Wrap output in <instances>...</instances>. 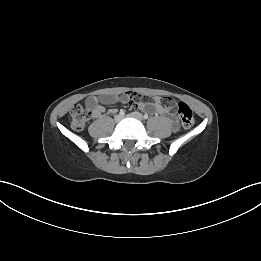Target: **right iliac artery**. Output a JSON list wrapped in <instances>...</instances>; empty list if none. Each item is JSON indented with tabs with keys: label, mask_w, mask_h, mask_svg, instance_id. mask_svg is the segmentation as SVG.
<instances>
[{
	"label": "right iliac artery",
	"mask_w": 261,
	"mask_h": 261,
	"mask_svg": "<svg viewBox=\"0 0 261 261\" xmlns=\"http://www.w3.org/2000/svg\"><path fill=\"white\" fill-rule=\"evenodd\" d=\"M119 115L124 116L125 115V111L124 110H120Z\"/></svg>",
	"instance_id": "82829eb1"
}]
</instances>
